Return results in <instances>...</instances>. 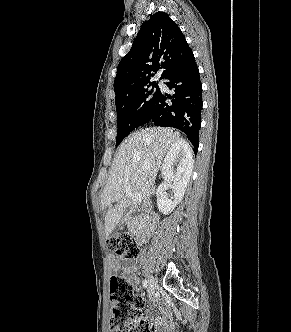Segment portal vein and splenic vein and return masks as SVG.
Wrapping results in <instances>:
<instances>
[{
    "instance_id": "portal-vein-and-splenic-vein-1",
    "label": "portal vein and splenic vein",
    "mask_w": 291,
    "mask_h": 332,
    "mask_svg": "<svg viewBox=\"0 0 291 332\" xmlns=\"http://www.w3.org/2000/svg\"><path fill=\"white\" fill-rule=\"evenodd\" d=\"M125 191H126V194L131 198V200L134 203L141 202L142 196H141L140 193H133V192H131V190H130V188L128 186H125Z\"/></svg>"
}]
</instances>
